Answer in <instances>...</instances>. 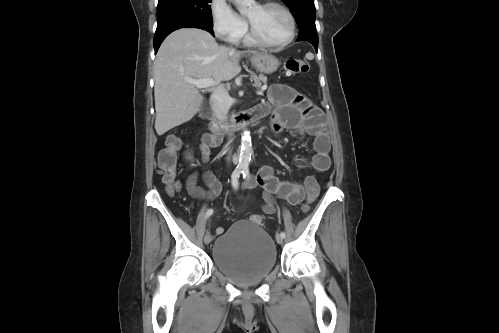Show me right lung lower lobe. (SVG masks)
<instances>
[{
  "label": "right lung lower lobe",
  "mask_w": 499,
  "mask_h": 333,
  "mask_svg": "<svg viewBox=\"0 0 499 333\" xmlns=\"http://www.w3.org/2000/svg\"><path fill=\"white\" fill-rule=\"evenodd\" d=\"M200 28L203 30H206L210 32L212 35L213 30L212 27L213 25L204 23V22H195V21H188V22H178V23H173L167 26L162 27L161 29H157L155 36H154V49L155 53L158 51L159 46L161 45L162 41L173 31L180 29V28Z\"/></svg>",
  "instance_id": "obj_1"
}]
</instances>
